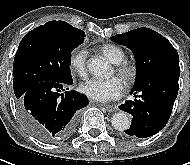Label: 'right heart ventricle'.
I'll return each instance as SVG.
<instances>
[{
	"mask_svg": "<svg viewBox=\"0 0 190 165\" xmlns=\"http://www.w3.org/2000/svg\"><path fill=\"white\" fill-rule=\"evenodd\" d=\"M100 51L114 64L121 63L126 58L125 52L116 45H103Z\"/></svg>",
	"mask_w": 190,
	"mask_h": 165,
	"instance_id": "obj_1",
	"label": "right heart ventricle"
}]
</instances>
